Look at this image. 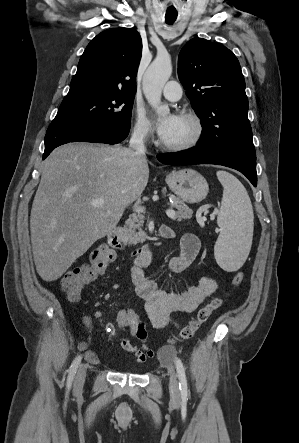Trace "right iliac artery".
<instances>
[{
	"label": "right iliac artery",
	"instance_id": "right-iliac-artery-1",
	"mask_svg": "<svg viewBox=\"0 0 299 443\" xmlns=\"http://www.w3.org/2000/svg\"><path fill=\"white\" fill-rule=\"evenodd\" d=\"M81 359H82V356H81V355L77 356V357L74 359V361H73V363H72V365H71V367H70V369H69V375H68V379H67V386H68V387H70L71 384H72V381H73V379H74V376H75V374H76V371H77V369H78V366H79V364H80V362H81Z\"/></svg>",
	"mask_w": 299,
	"mask_h": 443
}]
</instances>
